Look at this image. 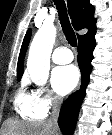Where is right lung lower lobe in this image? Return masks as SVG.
<instances>
[{
	"mask_svg": "<svg viewBox=\"0 0 112 135\" xmlns=\"http://www.w3.org/2000/svg\"><path fill=\"white\" fill-rule=\"evenodd\" d=\"M95 46V34L78 41V64L82 74V84L80 90L72 94L61 107L58 123L64 135L73 134L79 109L90 80Z\"/></svg>",
	"mask_w": 112,
	"mask_h": 135,
	"instance_id": "right-lung-lower-lobe-1",
	"label": "right lung lower lobe"
}]
</instances>
